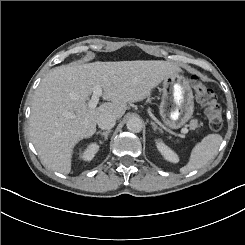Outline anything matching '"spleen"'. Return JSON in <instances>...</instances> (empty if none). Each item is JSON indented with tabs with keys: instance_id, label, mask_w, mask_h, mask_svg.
I'll return each instance as SVG.
<instances>
[{
	"instance_id": "spleen-1",
	"label": "spleen",
	"mask_w": 245,
	"mask_h": 245,
	"mask_svg": "<svg viewBox=\"0 0 245 245\" xmlns=\"http://www.w3.org/2000/svg\"><path fill=\"white\" fill-rule=\"evenodd\" d=\"M223 139L219 134H209L193 148L188 164L180 169L183 174L202 168L217 153Z\"/></svg>"
}]
</instances>
